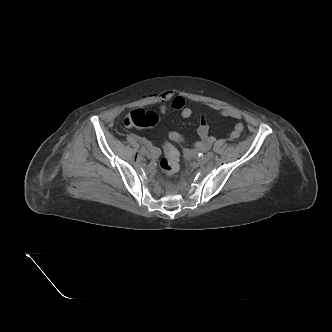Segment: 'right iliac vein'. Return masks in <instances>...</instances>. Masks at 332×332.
<instances>
[{
  "instance_id": "right-iliac-vein-1",
  "label": "right iliac vein",
  "mask_w": 332,
  "mask_h": 332,
  "mask_svg": "<svg viewBox=\"0 0 332 332\" xmlns=\"http://www.w3.org/2000/svg\"><path fill=\"white\" fill-rule=\"evenodd\" d=\"M139 152H140L141 155H146L147 150H146V148L141 147L140 150H139Z\"/></svg>"
}]
</instances>
